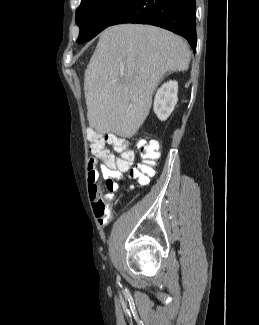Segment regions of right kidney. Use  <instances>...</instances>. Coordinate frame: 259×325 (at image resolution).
Wrapping results in <instances>:
<instances>
[{"label": "right kidney", "mask_w": 259, "mask_h": 325, "mask_svg": "<svg viewBox=\"0 0 259 325\" xmlns=\"http://www.w3.org/2000/svg\"><path fill=\"white\" fill-rule=\"evenodd\" d=\"M177 94V81H169L164 83L157 90L153 110L159 120L164 121L171 115L178 101Z\"/></svg>", "instance_id": "right-kidney-1"}]
</instances>
